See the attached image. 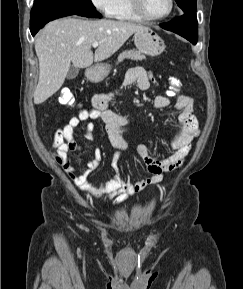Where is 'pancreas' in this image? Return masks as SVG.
Masks as SVG:
<instances>
[{
    "instance_id": "cf45deb5",
    "label": "pancreas",
    "mask_w": 243,
    "mask_h": 289,
    "mask_svg": "<svg viewBox=\"0 0 243 289\" xmlns=\"http://www.w3.org/2000/svg\"><path fill=\"white\" fill-rule=\"evenodd\" d=\"M125 59H132L136 61H142L145 59V56L140 52L136 50H127L122 52L118 58H117V64L123 62Z\"/></svg>"
}]
</instances>
